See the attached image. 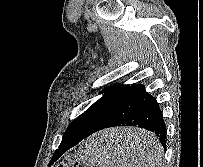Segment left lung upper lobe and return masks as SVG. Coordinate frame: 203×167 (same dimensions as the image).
Masks as SVG:
<instances>
[{"label": "left lung upper lobe", "mask_w": 203, "mask_h": 167, "mask_svg": "<svg viewBox=\"0 0 203 167\" xmlns=\"http://www.w3.org/2000/svg\"><path fill=\"white\" fill-rule=\"evenodd\" d=\"M130 85H113L105 88L104 95L78 116L66 129L63 138L71 135L91 134L108 116ZM54 157V156H53Z\"/></svg>", "instance_id": "obj_1"}]
</instances>
